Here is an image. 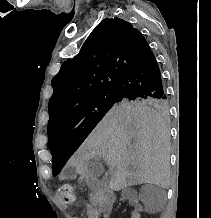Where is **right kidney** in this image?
Here are the masks:
<instances>
[{"label":"right kidney","mask_w":211,"mask_h":218,"mask_svg":"<svg viewBox=\"0 0 211 218\" xmlns=\"http://www.w3.org/2000/svg\"><path fill=\"white\" fill-rule=\"evenodd\" d=\"M122 200L124 202H133V206H137V209H132V214H134L135 218H144L143 211H146V207L142 206V201L140 198H137V194L135 190L132 188H123L122 190Z\"/></svg>","instance_id":"ca27d5eb"}]
</instances>
